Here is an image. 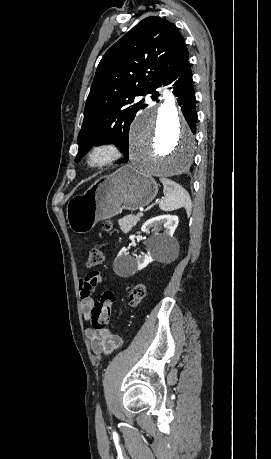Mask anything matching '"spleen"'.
I'll return each mask as SVG.
<instances>
[{
    "mask_svg": "<svg viewBox=\"0 0 271 459\" xmlns=\"http://www.w3.org/2000/svg\"><path fill=\"white\" fill-rule=\"evenodd\" d=\"M160 182H162L164 186V198L159 204L160 210L172 212V210H178V208H185L189 218L192 212V202L190 198L189 200H185V198L181 196L179 190L181 186H178V184H175L172 180H168V178H160Z\"/></svg>",
    "mask_w": 271,
    "mask_h": 459,
    "instance_id": "obj_1",
    "label": "spleen"
}]
</instances>
